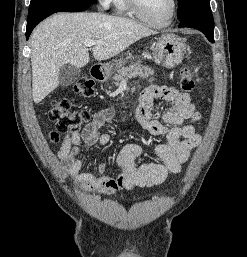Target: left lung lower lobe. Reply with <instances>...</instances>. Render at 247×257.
Here are the masks:
<instances>
[{
  "label": "left lung lower lobe",
  "mask_w": 247,
  "mask_h": 257,
  "mask_svg": "<svg viewBox=\"0 0 247 257\" xmlns=\"http://www.w3.org/2000/svg\"><path fill=\"white\" fill-rule=\"evenodd\" d=\"M213 17H206L201 14H191L181 18L179 27H190L200 30L210 42L214 43Z\"/></svg>",
  "instance_id": "1"
}]
</instances>
